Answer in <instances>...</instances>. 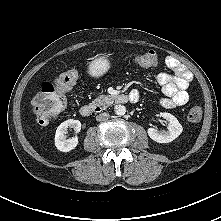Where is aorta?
<instances>
[{
	"instance_id": "obj_1",
	"label": "aorta",
	"mask_w": 221,
	"mask_h": 221,
	"mask_svg": "<svg viewBox=\"0 0 221 221\" xmlns=\"http://www.w3.org/2000/svg\"><path fill=\"white\" fill-rule=\"evenodd\" d=\"M114 111L117 115L122 116L126 113V107L124 105H116Z\"/></svg>"
}]
</instances>
